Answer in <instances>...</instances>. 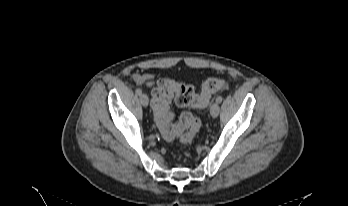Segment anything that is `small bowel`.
<instances>
[{
  "instance_id": "small-bowel-1",
  "label": "small bowel",
  "mask_w": 348,
  "mask_h": 206,
  "mask_svg": "<svg viewBox=\"0 0 348 206\" xmlns=\"http://www.w3.org/2000/svg\"><path fill=\"white\" fill-rule=\"evenodd\" d=\"M131 77L136 83L147 87H151L156 83L155 76L151 73H133Z\"/></svg>"
}]
</instances>
